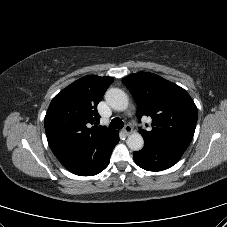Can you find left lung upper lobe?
Listing matches in <instances>:
<instances>
[{"mask_svg":"<svg viewBox=\"0 0 227 227\" xmlns=\"http://www.w3.org/2000/svg\"><path fill=\"white\" fill-rule=\"evenodd\" d=\"M122 82L137 103V118L152 119V129H140L144 140L186 150L196 127L198 112L190 95L180 86L149 72L125 77Z\"/></svg>","mask_w":227,"mask_h":227,"instance_id":"1","label":"left lung upper lobe"}]
</instances>
